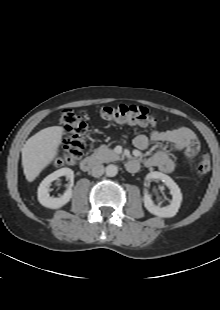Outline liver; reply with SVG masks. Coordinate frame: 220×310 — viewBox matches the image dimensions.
Listing matches in <instances>:
<instances>
[{"label":"liver","instance_id":"6515ba94","mask_svg":"<svg viewBox=\"0 0 220 310\" xmlns=\"http://www.w3.org/2000/svg\"><path fill=\"white\" fill-rule=\"evenodd\" d=\"M64 129L52 126L30 137L22 148V166L28 182H32L57 156Z\"/></svg>","mask_w":220,"mask_h":310}]
</instances>
